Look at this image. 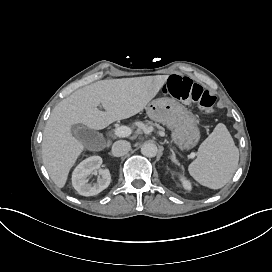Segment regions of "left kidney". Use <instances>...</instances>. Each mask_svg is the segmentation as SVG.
Wrapping results in <instances>:
<instances>
[{
	"mask_svg": "<svg viewBox=\"0 0 272 272\" xmlns=\"http://www.w3.org/2000/svg\"><path fill=\"white\" fill-rule=\"evenodd\" d=\"M183 185L185 189H190V183L188 181H185Z\"/></svg>",
	"mask_w": 272,
	"mask_h": 272,
	"instance_id": "5707ae66",
	"label": "left kidney"
}]
</instances>
